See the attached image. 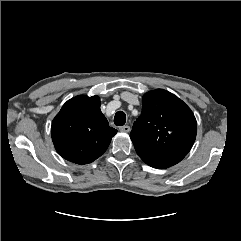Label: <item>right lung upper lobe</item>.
Wrapping results in <instances>:
<instances>
[{
  "label": "right lung upper lobe",
  "instance_id": "right-lung-upper-lobe-1",
  "mask_svg": "<svg viewBox=\"0 0 241 241\" xmlns=\"http://www.w3.org/2000/svg\"><path fill=\"white\" fill-rule=\"evenodd\" d=\"M116 133L100 110L98 96L80 95L70 99L51 126L56 151L76 164H88L100 157Z\"/></svg>",
  "mask_w": 241,
  "mask_h": 241
}]
</instances>
